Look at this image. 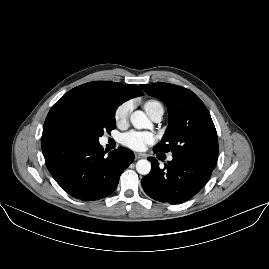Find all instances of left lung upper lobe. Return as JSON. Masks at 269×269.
I'll return each instance as SVG.
<instances>
[{
  "label": "left lung upper lobe",
  "instance_id": "obj_1",
  "mask_svg": "<svg viewBox=\"0 0 269 269\" xmlns=\"http://www.w3.org/2000/svg\"><path fill=\"white\" fill-rule=\"evenodd\" d=\"M140 87L163 101L169 112L168 128L154 148L215 168L217 133L208 109L198 96L189 89L163 82L141 84Z\"/></svg>",
  "mask_w": 269,
  "mask_h": 269
}]
</instances>
